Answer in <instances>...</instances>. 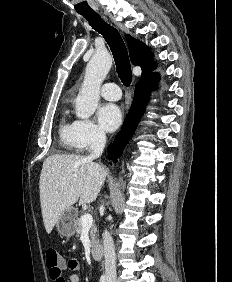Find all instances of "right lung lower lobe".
<instances>
[{
  "mask_svg": "<svg viewBox=\"0 0 232 282\" xmlns=\"http://www.w3.org/2000/svg\"><path fill=\"white\" fill-rule=\"evenodd\" d=\"M158 80L157 73H150L142 76L140 82L137 84L134 99L124 121L121 131L117 134L113 144L109 145V158L116 162L120 157L126 143L133 135L141 116L145 111L146 104L149 100L150 89L156 88Z\"/></svg>",
  "mask_w": 232,
  "mask_h": 282,
  "instance_id": "obj_1",
  "label": "right lung lower lobe"
}]
</instances>
